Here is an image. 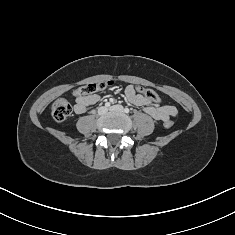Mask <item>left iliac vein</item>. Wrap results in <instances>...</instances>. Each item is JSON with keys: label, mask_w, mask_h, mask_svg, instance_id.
<instances>
[{"label": "left iliac vein", "mask_w": 235, "mask_h": 235, "mask_svg": "<svg viewBox=\"0 0 235 235\" xmlns=\"http://www.w3.org/2000/svg\"><path fill=\"white\" fill-rule=\"evenodd\" d=\"M109 111H111V112H123L124 108L121 105H114V106L109 108Z\"/></svg>", "instance_id": "obj_1"}]
</instances>
